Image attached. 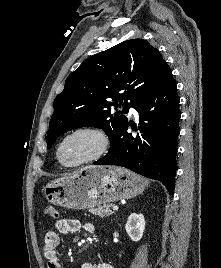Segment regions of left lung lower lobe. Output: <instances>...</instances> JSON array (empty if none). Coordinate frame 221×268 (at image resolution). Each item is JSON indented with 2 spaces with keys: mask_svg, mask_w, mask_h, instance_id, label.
Wrapping results in <instances>:
<instances>
[{
  "mask_svg": "<svg viewBox=\"0 0 221 268\" xmlns=\"http://www.w3.org/2000/svg\"><path fill=\"white\" fill-rule=\"evenodd\" d=\"M179 97L172 77L161 88L137 101L138 128L128 121L110 141L106 156L96 165H117L161 181L170 194L174 191L177 139L180 133ZM138 131L128 133V128Z\"/></svg>",
  "mask_w": 221,
  "mask_h": 268,
  "instance_id": "obj_1",
  "label": "left lung lower lobe"
}]
</instances>
